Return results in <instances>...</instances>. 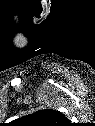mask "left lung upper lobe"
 I'll return each instance as SVG.
<instances>
[{
    "label": "left lung upper lobe",
    "mask_w": 95,
    "mask_h": 126,
    "mask_svg": "<svg viewBox=\"0 0 95 126\" xmlns=\"http://www.w3.org/2000/svg\"><path fill=\"white\" fill-rule=\"evenodd\" d=\"M67 119L56 110L44 109L19 119L23 126H65Z\"/></svg>",
    "instance_id": "5c2ea615"
}]
</instances>
